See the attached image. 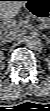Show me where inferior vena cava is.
I'll return each mask as SVG.
<instances>
[{
    "label": "inferior vena cava",
    "instance_id": "inferior-vena-cava-1",
    "mask_svg": "<svg viewBox=\"0 0 50 111\" xmlns=\"http://www.w3.org/2000/svg\"><path fill=\"white\" fill-rule=\"evenodd\" d=\"M21 33L18 30H11L4 34V42H12L20 39Z\"/></svg>",
    "mask_w": 50,
    "mask_h": 111
}]
</instances>
